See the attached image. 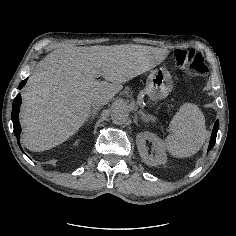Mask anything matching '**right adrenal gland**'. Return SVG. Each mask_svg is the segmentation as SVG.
I'll list each match as a JSON object with an SVG mask.
<instances>
[{
    "instance_id": "1",
    "label": "right adrenal gland",
    "mask_w": 236,
    "mask_h": 236,
    "mask_svg": "<svg viewBox=\"0 0 236 236\" xmlns=\"http://www.w3.org/2000/svg\"><path fill=\"white\" fill-rule=\"evenodd\" d=\"M100 109H101V107H94V108L91 110L88 119H89V118L94 119V118H95V115L97 114V111L100 110Z\"/></svg>"
}]
</instances>
